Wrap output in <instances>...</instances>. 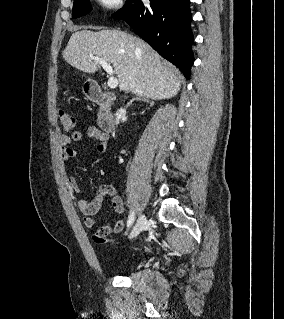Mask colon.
<instances>
[{"label": "colon", "mask_w": 284, "mask_h": 319, "mask_svg": "<svg viewBox=\"0 0 284 319\" xmlns=\"http://www.w3.org/2000/svg\"><path fill=\"white\" fill-rule=\"evenodd\" d=\"M58 120L61 125V128L65 132H69L73 130L77 125V119L73 112L69 111L65 107H60L58 109ZM93 239L97 243H113L112 240H108L106 238H101L94 234Z\"/></svg>", "instance_id": "obj_1"}]
</instances>
